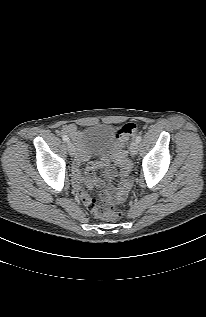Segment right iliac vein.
Instances as JSON below:
<instances>
[{
  "label": "right iliac vein",
  "mask_w": 206,
  "mask_h": 317,
  "mask_svg": "<svg viewBox=\"0 0 206 317\" xmlns=\"http://www.w3.org/2000/svg\"><path fill=\"white\" fill-rule=\"evenodd\" d=\"M67 149H68V152L70 154V156H74L75 155V146L71 143V142H68L67 143Z\"/></svg>",
  "instance_id": "63e3f726"
}]
</instances>
